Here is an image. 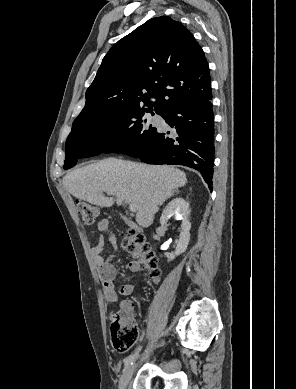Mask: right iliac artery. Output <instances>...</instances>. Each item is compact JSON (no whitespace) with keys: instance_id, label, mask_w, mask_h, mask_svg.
<instances>
[{"instance_id":"obj_1","label":"right iliac artery","mask_w":296,"mask_h":389,"mask_svg":"<svg viewBox=\"0 0 296 389\" xmlns=\"http://www.w3.org/2000/svg\"><path fill=\"white\" fill-rule=\"evenodd\" d=\"M137 357V351L134 354H131L124 360L125 367H128L129 365H132L134 360Z\"/></svg>"}]
</instances>
